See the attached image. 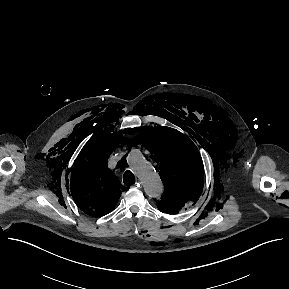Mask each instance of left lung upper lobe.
<instances>
[{
	"instance_id": "obj_1",
	"label": "left lung upper lobe",
	"mask_w": 289,
	"mask_h": 289,
	"mask_svg": "<svg viewBox=\"0 0 289 289\" xmlns=\"http://www.w3.org/2000/svg\"><path fill=\"white\" fill-rule=\"evenodd\" d=\"M140 138L157 163L165 190L156 205L162 213L177 214L195 204L203 189V162L194 143L172 128L146 127ZM138 137V138H139Z\"/></svg>"
}]
</instances>
